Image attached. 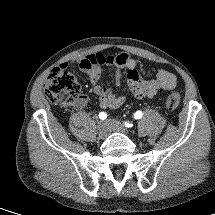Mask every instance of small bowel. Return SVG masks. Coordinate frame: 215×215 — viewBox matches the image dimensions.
<instances>
[{
    "instance_id": "obj_1",
    "label": "small bowel",
    "mask_w": 215,
    "mask_h": 215,
    "mask_svg": "<svg viewBox=\"0 0 215 215\" xmlns=\"http://www.w3.org/2000/svg\"><path fill=\"white\" fill-rule=\"evenodd\" d=\"M111 49L118 55L116 57H103L101 52L105 49ZM65 56L59 64L64 68L65 76L69 80L72 89L77 93V99L74 105H82L87 100L92 91L97 93L103 100L104 104L117 103L122 100L117 97L110 89L103 88L98 84L101 74L100 64H115V78L120 82L122 78L123 69L132 70L135 67L136 60H144L156 64V79L147 83L138 81L132 78L130 87L137 98L143 99L147 102L153 100V89L162 88L168 91L174 90L178 83V75H182L187 87H191V82L188 77L181 73L179 68L172 69L170 61L164 57L156 56L155 54L146 50L140 49L127 44H112L105 45L103 43H96L87 48H74ZM77 51V52H76ZM77 63L84 73H86L93 84V89L83 86L78 82L77 77L71 73L68 68L71 64ZM178 99V94L171 93L167 98L158 99L155 101L156 109H166L173 105ZM64 106L70 105V102L65 101Z\"/></svg>"
}]
</instances>
